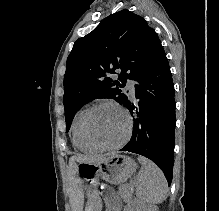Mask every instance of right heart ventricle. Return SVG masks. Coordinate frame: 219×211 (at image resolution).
Wrapping results in <instances>:
<instances>
[{"label":"right heart ventricle","mask_w":219,"mask_h":211,"mask_svg":"<svg viewBox=\"0 0 219 211\" xmlns=\"http://www.w3.org/2000/svg\"><path fill=\"white\" fill-rule=\"evenodd\" d=\"M86 109H81L76 112V114L73 117L72 124H71V139L73 145L80 149L83 152L87 153H94L97 152V148L91 146L86 142V140L83 137L81 124H82V118L85 113Z\"/></svg>","instance_id":"e07e8e85"}]
</instances>
